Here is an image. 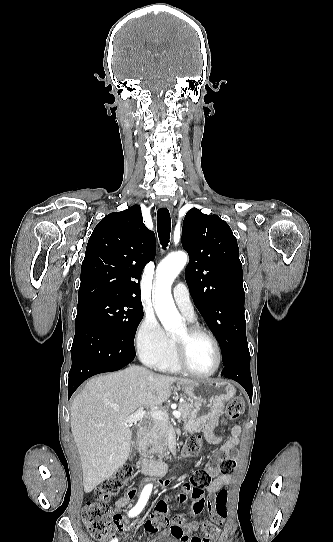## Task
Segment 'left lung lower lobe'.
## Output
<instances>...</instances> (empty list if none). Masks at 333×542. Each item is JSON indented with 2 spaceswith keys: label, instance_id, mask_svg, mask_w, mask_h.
Wrapping results in <instances>:
<instances>
[{
  "label": "left lung lower lobe",
  "instance_id": "left-lung-lower-lobe-1",
  "mask_svg": "<svg viewBox=\"0 0 333 542\" xmlns=\"http://www.w3.org/2000/svg\"><path fill=\"white\" fill-rule=\"evenodd\" d=\"M221 375L237 381L247 391L252 400L253 387L248 345L236 350L230 360L224 365Z\"/></svg>",
  "mask_w": 333,
  "mask_h": 542
}]
</instances>
